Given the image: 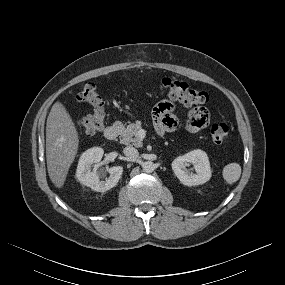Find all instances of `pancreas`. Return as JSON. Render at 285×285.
Masks as SVG:
<instances>
[{"mask_svg":"<svg viewBox=\"0 0 285 285\" xmlns=\"http://www.w3.org/2000/svg\"><path fill=\"white\" fill-rule=\"evenodd\" d=\"M115 126L120 130V142L124 145L142 146V140L138 137L141 129V122L130 123L126 127L121 122H116Z\"/></svg>","mask_w":285,"mask_h":285,"instance_id":"obj_1","label":"pancreas"}]
</instances>
